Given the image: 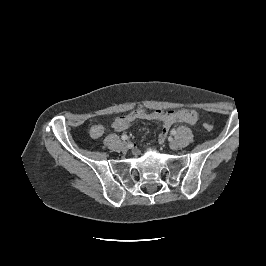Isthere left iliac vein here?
<instances>
[{"mask_svg": "<svg viewBox=\"0 0 266 266\" xmlns=\"http://www.w3.org/2000/svg\"><path fill=\"white\" fill-rule=\"evenodd\" d=\"M178 147H179V145H178L177 141L172 140V141L170 142V148H171L172 150H177Z\"/></svg>", "mask_w": 266, "mask_h": 266, "instance_id": "left-iliac-vein-1", "label": "left iliac vein"}]
</instances>
